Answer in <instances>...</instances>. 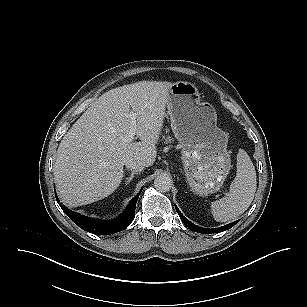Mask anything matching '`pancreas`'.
I'll use <instances>...</instances> for the list:
<instances>
[{
    "instance_id": "cf45deb5",
    "label": "pancreas",
    "mask_w": 307,
    "mask_h": 307,
    "mask_svg": "<svg viewBox=\"0 0 307 307\" xmlns=\"http://www.w3.org/2000/svg\"><path fill=\"white\" fill-rule=\"evenodd\" d=\"M163 139L166 144H171L173 142V139L170 136H163Z\"/></svg>"
}]
</instances>
